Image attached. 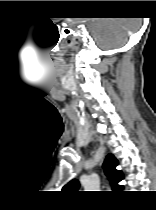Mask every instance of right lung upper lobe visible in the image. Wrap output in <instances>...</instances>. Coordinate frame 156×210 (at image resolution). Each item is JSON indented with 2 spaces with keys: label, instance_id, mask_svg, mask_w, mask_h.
Returning a JSON list of instances; mask_svg holds the SVG:
<instances>
[{
  "label": "right lung upper lobe",
  "instance_id": "1",
  "mask_svg": "<svg viewBox=\"0 0 156 210\" xmlns=\"http://www.w3.org/2000/svg\"><path fill=\"white\" fill-rule=\"evenodd\" d=\"M118 160L111 154H109L103 163L105 174L114 190H121L122 186L118 185L124 177L120 170H117ZM65 187L77 190L79 188V181L76 179L71 180Z\"/></svg>",
  "mask_w": 156,
  "mask_h": 210
}]
</instances>
